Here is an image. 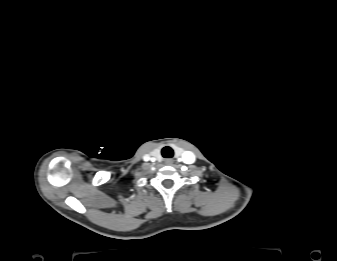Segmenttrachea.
Returning a JSON list of instances; mask_svg holds the SVG:
<instances>
[{"mask_svg": "<svg viewBox=\"0 0 337 261\" xmlns=\"http://www.w3.org/2000/svg\"><path fill=\"white\" fill-rule=\"evenodd\" d=\"M161 153L164 158H172L174 155L173 149L169 146L164 147Z\"/></svg>", "mask_w": 337, "mask_h": 261, "instance_id": "trachea-1", "label": "trachea"}]
</instances>
